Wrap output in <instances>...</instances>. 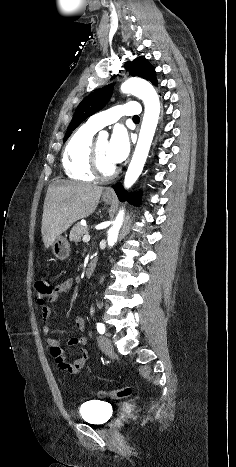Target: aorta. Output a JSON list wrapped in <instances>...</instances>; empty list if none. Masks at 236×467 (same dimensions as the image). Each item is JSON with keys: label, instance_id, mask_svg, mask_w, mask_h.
Segmentation results:
<instances>
[{"label": "aorta", "instance_id": "aorta-1", "mask_svg": "<svg viewBox=\"0 0 236 467\" xmlns=\"http://www.w3.org/2000/svg\"><path fill=\"white\" fill-rule=\"evenodd\" d=\"M120 89L122 93H131L139 97L145 106L138 142L124 179V187L129 189L139 178L148 157L158 124L160 101L154 87L149 82L140 78L126 80L122 83ZM123 219L124 210H120L113 226L108 231L107 241L109 247H112L116 243Z\"/></svg>", "mask_w": 236, "mask_h": 467}]
</instances>
